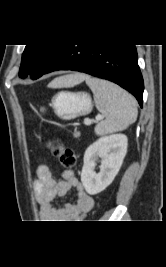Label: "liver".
<instances>
[{
  "mask_svg": "<svg viewBox=\"0 0 166 267\" xmlns=\"http://www.w3.org/2000/svg\"><path fill=\"white\" fill-rule=\"evenodd\" d=\"M87 78L86 75L81 73H74L70 75H66L60 78L53 80L49 83V88H58V87H73L82 83Z\"/></svg>",
  "mask_w": 166,
  "mask_h": 267,
  "instance_id": "obj_1",
  "label": "liver"
}]
</instances>
